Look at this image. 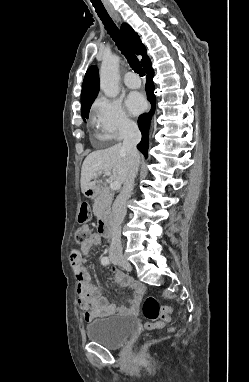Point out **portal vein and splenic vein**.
<instances>
[{
	"instance_id": "portal-vein-and-splenic-vein-1",
	"label": "portal vein and splenic vein",
	"mask_w": 249,
	"mask_h": 382,
	"mask_svg": "<svg viewBox=\"0 0 249 382\" xmlns=\"http://www.w3.org/2000/svg\"><path fill=\"white\" fill-rule=\"evenodd\" d=\"M104 173H105V175H110V172H108V171H105ZM120 187H121V183L118 181H113L110 183V189L111 190H118V189H120Z\"/></svg>"
}]
</instances>
